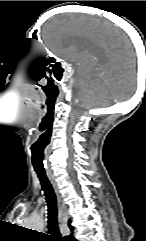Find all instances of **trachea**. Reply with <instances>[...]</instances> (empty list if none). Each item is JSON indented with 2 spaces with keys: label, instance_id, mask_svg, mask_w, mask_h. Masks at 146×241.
I'll return each mask as SVG.
<instances>
[{
  "label": "trachea",
  "instance_id": "obj_1",
  "mask_svg": "<svg viewBox=\"0 0 146 241\" xmlns=\"http://www.w3.org/2000/svg\"><path fill=\"white\" fill-rule=\"evenodd\" d=\"M39 181L41 183L42 189L45 194V199L48 207V231L50 233L51 241H63L61 238L59 227H58V210H57V198L55 191L46 175L45 170L34 168Z\"/></svg>",
  "mask_w": 146,
  "mask_h": 241
}]
</instances>
